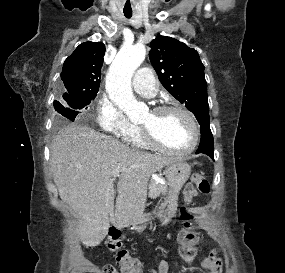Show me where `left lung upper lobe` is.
Listing matches in <instances>:
<instances>
[{
    "mask_svg": "<svg viewBox=\"0 0 285 273\" xmlns=\"http://www.w3.org/2000/svg\"><path fill=\"white\" fill-rule=\"evenodd\" d=\"M151 64L166 90L193 112L200 125L209 123L204 65L196 50L166 36L152 40Z\"/></svg>",
    "mask_w": 285,
    "mask_h": 273,
    "instance_id": "obj_1",
    "label": "left lung upper lobe"
}]
</instances>
